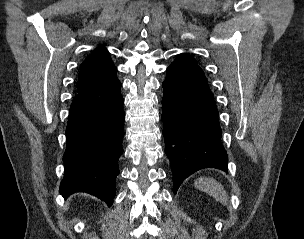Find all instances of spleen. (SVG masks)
Masks as SVG:
<instances>
[{
    "label": "spleen",
    "mask_w": 304,
    "mask_h": 239,
    "mask_svg": "<svg viewBox=\"0 0 304 239\" xmlns=\"http://www.w3.org/2000/svg\"><path fill=\"white\" fill-rule=\"evenodd\" d=\"M195 186L208 193L216 201L220 202L223 205H227L228 195L224 190V187L212 178L201 177L195 181Z\"/></svg>",
    "instance_id": "obj_1"
}]
</instances>
